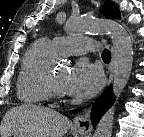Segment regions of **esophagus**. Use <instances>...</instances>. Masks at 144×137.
<instances>
[{"label": "esophagus", "mask_w": 144, "mask_h": 137, "mask_svg": "<svg viewBox=\"0 0 144 137\" xmlns=\"http://www.w3.org/2000/svg\"><path fill=\"white\" fill-rule=\"evenodd\" d=\"M114 50L112 49V59L109 67V83L112 80L113 72H114ZM74 127L83 133H88L92 130V122H91V109H88L85 113L77 116L73 123Z\"/></svg>", "instance_id": "34e87169"}]
</instances>
